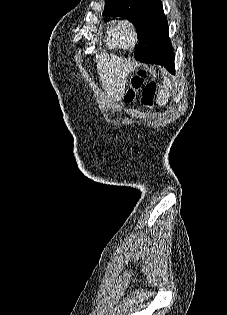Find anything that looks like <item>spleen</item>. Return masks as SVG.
Returning a JSON list of instances; mask_svg holds the SVG:
<instances>
[{
    "instance_id": "spleen-1",
    "label": "spleen",
    "mask_w": 227,
    "mask_h": 315,
    "mask_svg": "<svg viewBox=\"0 0 227 315\" xmlns=\"http://www.w3.org/2000/svg\"><path fill=\"white\" fill-rule=\"evenodd\" d=\"M169 87H170V82H169V81H166V82H165V86H164V88L160 91L159 97H158V100H159V102H160L161 104H166L167 101H168V98H169V95H170V93H169V91H168Z\"/></svg>"
}]
</instances>
